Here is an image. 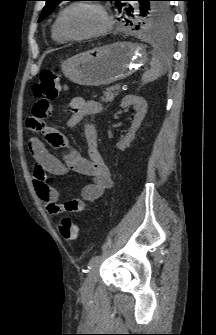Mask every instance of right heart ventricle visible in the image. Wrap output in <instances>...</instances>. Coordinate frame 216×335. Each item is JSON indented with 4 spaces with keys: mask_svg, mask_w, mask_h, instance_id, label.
<instances>
[{
    "mask_svg": "<svg viewBox=\"0 0 216 335\" xmlns=\"http://www.w3.org/2000/svg\"><path fill=\"white\" fill-rule=\"evenodd\" d=\"M51 36H52V39L58 43H63L66 41V39H64L60 33L58 32L57 30V27H56V21L54 22V24L52 25V29H51Z\"/></svg>",
    "mask_w": 216,
    "mask_h": 335,
    "instance_id": "e07e8e85",
    "label": "right heart ventricle"
}]
</instances>
